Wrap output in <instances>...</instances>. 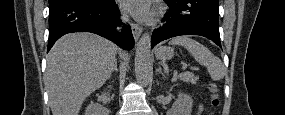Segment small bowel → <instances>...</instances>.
<instances>
[{
    "instance_id": "1",
    "label": "small bowel",
    "mask_w": 285,
    "mask_h": 115,
    "mask_svg": "<svg viewBox=\"0 0 285 115\" xmlns=\"http://www.w3.org/2000/svg\"><path fill=\"white\" fill-rule=\"evenodd\" d=\"M198 109L201 110V106H199Z\"/></svg>"
}]
</instances>
